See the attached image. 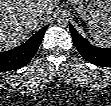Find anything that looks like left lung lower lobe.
Returning <instances> with one entry per match:
<instances>
[{"label": "left lung lower lobe", "instance_id": "0a47b994", "mask_svg": "<svg viewBox=\"0 0 111 106\" xmlns=\"http://www.w3.org/2000/svg\"><path fill=\"white\" fill-rule=\"evenodd\" d=\"M72 40L84 59L102 67L111 66V48H98L91 45L70 24Z\"/></svg>", "mask_w": 111, "mask_h": 106}]
</instances>
